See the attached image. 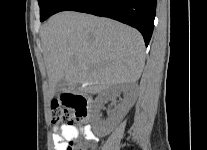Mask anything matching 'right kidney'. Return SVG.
I'll use <instances>...</instances> for the list:
<instances>
[{
	"label": "right kidney",
	"instance_id": "obj_1",
	"mask_svg": "<svg viewBox=\"0 0 207 150\" xmlns=\"http://www.w3.org/2000/svg\"><path fill=\"white\" fill-rule=\"evenodd\" d=\"M121 93L125 95L128 94V88L125 85L114 86L100 94L95 100V112L98 113L105 102H107L108 100H114ZM130 108L131 104L127 99H125L121 104H119L116 107L112 128L116 126L125 117Z\"/></svg>",
	"mask_w": 207,
	"mask_h": 150
}]
</instances>
